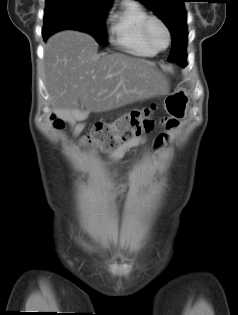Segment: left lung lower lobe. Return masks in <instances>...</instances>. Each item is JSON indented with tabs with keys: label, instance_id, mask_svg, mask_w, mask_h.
I'll list each match as a JSON object with an SVG mask.
<instances>
[{
	"label": "left lung lower lobe",
	"instance_id": "0a47b994",
	"mask_svg": "<svg viewBox=\"0 0 238 315\" xmlns=\"http://www.w3.org/2000/svg\"><path fill=\"white\" fill-rule=\"evenodd\" d=\"M187 37L183 34L172 35V49L170 56L178 61L180 65L186 64V50Z\"/></svg>",
	"mask_w": 238,
	"mask_h": 315
}]
</instances>
